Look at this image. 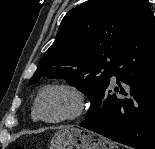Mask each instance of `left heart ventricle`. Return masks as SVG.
Listing matches in <instances>:
<instances>
[{
    "mask_svg": "<svg viewBox=\"0 0 155 149\" xmlns=\"http://www.w3.org/2000/svg\"><path fill=\"white\" fill-rule=\"evenodd\" d=\"M74 107L73 97L61 90L47 92L40 101V112L48 119L63 117L71 113Z\"/></svg>",
    "mask_w": 155,
    "mask_h": 149,
    "instance_id": "obj_1",
    "label": "left heart ventricle"
}]
</instances>
